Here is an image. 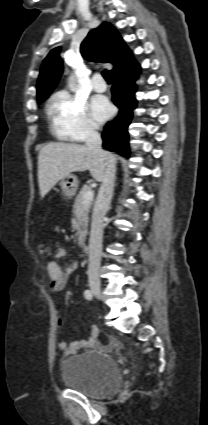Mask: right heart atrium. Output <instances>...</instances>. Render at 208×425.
Instances as JSON below:
<instances>
[{
	"instance_id": "right-heart-atrium-1",
	"label": "right heart atrium",
	"mask_w": 208,
	"mask_h": 425,
	"mask_svg": "<svg viewBox=\"0 0 208 425\" xmlns=\"http://www.w3.org/2000/svg\"><path fill=\"white\" fill-rule=\"evenodd\" d=\"M50 111L60 136L81 142L97 135L87 104L81 98L60 91L54 95Z\"/></svg>"
}]
</instances>
